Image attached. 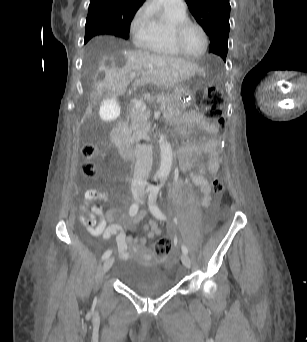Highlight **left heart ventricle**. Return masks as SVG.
<instances>
[{
  "label": "left heart ventricle",
  "mask_w": 307,
  "mask_h": 342,
  "mask_svg": "<svg viewBox=\"0 0 307 342\" xmlns=\"http://www.w3.org/2000/svg\"><path fill=\"white\" fill-rule=\"evenodd\" d=\"M183 43L186 51L192 56H198L204 49V35L198 25H190L185 31Z\"/></svg>",
  "instance_id": "obj_1"
}]
</instances>
